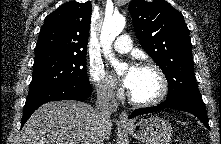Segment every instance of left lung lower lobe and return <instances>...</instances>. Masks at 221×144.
<instances>
[{
	"mask_svg": "<svg viewBox=\"0 0 221 144\" xmlns=\"http://www.w3.org/2000/svg\"><path fill=\"white\" fill-rule=\"evenodd\" d=\"M169 108L182 110L195 115L208 129H210L204 102L187 98L167 99L165 102H162L157 106L136 109L132 112L130 118Z\"/></svg>",
	"mask_w": 221,
	"mask_h": 144,
	"instance_id": "1",
	"label": "left lung lower lobe"
}]
</instances>
